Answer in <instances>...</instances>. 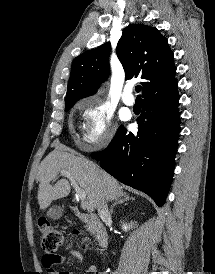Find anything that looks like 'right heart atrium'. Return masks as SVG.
Masks as SVG:
<instances>
[{"label": "right heart atrium", "instance_id": "obj_1", "mask_svg": "<svg viewBox=\"0 0 215 274\" xmlns=\"http://www.w3.org/2000/svg\"><path fill=\"white\" fill-rule=\"evenodd\" d=\"M80 112L79 146L88 150L107 145L113 133V116L109 109L100 101L87 99L81 102Z\"/></svg>", "mask_w": 215, "mask_h": 274}]
</instances>
